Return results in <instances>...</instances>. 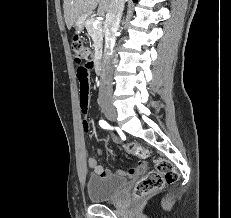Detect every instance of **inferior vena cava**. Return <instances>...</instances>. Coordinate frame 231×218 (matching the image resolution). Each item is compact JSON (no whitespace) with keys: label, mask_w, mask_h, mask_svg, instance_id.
<instances>
[{"label":"inferior vena cava","mask_w":231,"mask_h":218,"mask_svg":"<svg viewBox=\"0 0 231 218\" xmlns=\"http://www.w3.org/2000/svg\"><path fill=\"white\" fill-rule=\"evenodd\" d=\"M125 0H112L105 22V48L100 77L99 99H108L112 94L113 48L115 34L118 31Z\"/></svg>","instance_id":"obj_1"}]
</instances>
